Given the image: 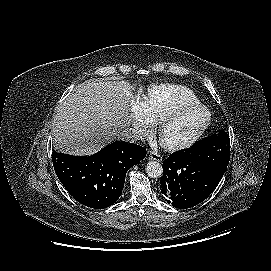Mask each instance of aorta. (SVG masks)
<instances>
[{"label": "aorta", "instance_id": "762f6f07", "mask_svg": "<svg viewBox=\"0 0 271 271\" xmlns=\"http://www.w3.org/2000/svg\"><path fill=\"white\" fill-rule=\"evenodd\" d=\"M146 173L151 178H157L162 175L163 168L157 161H150L146 166Z\"/></svg>", "mask_w": 271, "mask_h": 271}]
</instances>
